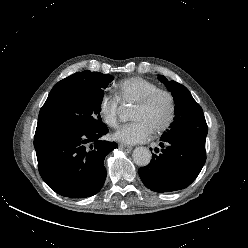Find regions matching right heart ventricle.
Segmentation results:
<instances>
[{
    "label": "right heart ventricle",
    "instance_id": "obj_1",
    "mask_svg": "<svg viewBox=\"0 0 248 248\" xmlns=\"http://www.w3.org/2000/svg\"><path fill=\"white\" fill-rule=\"evenodd\" d=\"M159 86L141 77H131L119 82L116 86V95L123 105L135 104Z\"/></svg>",
    "mask_w": 248,
    "mask_h": 248
}]
</instances>
